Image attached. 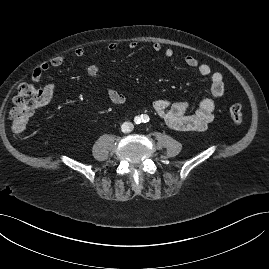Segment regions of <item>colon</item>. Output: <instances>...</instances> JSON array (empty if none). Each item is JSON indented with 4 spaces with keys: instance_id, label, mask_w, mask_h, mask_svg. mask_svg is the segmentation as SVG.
Instances as JSON below:
<instances>
[{
    "instance_id": "obj_1",
    "label": "colon",
    "mask_w": 269,
    "mask_h": 269,
    "mask_svg": "<svg viewBox=\"0 0 269 269\" xmlns=\"http://www.w3.org/2000/svg\"><path fill=\"white\" fill-rule=\"evenodd\" d=\"M42 98V90L33 84L24 83L19 86L10 110V123L14 134L19 135L25 130L35 111L42 105ZM229 112L233 123L240 126L243 123L241 105L232 104Z\"/></svg>"
}]
</instances>
